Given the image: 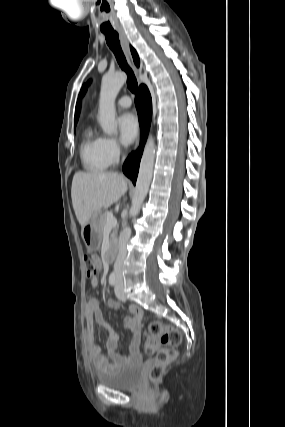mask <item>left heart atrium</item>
Here are the masks:
<instances>
[{
    "label": "left heart atrium",
    "mask_w": 285,
    "mask_h": 427,
    "mask_svg": "<svg viewBox=\"0 0 285 427\" xmlns=\"http://www.w3.org/2000/svg\"><path fill=\"white\" fill-rule=\"evenodd\" d=\"M121 141L128 145L131 144L139 130L137 118L132 113L123 114L118 120Z\"/></svg>",
    "instance_id": "39dd6f15"
}]
</instances>
